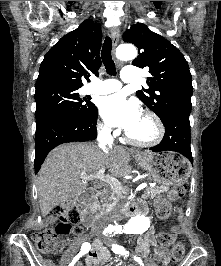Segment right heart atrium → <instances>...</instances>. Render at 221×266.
I'll list each match as a JSON object with an SVG mask.
<instances>
[{
    "label": "right heart atrium",
    "instance_id": "1",
    "mask_svg": "<svg viewBox=\"0 0 221 266\" xmlns=\"http://www.w3.org/2000/svg\"><path fill=\"white\" fill-rule=\"evenodd\" d=\"M97 131L102 136L111 135V133H112L110 127L103 122H99L97 124Z\"/></svg>",
    "mask_w": 221,
    "mask_h": 266
}]
</instances>
